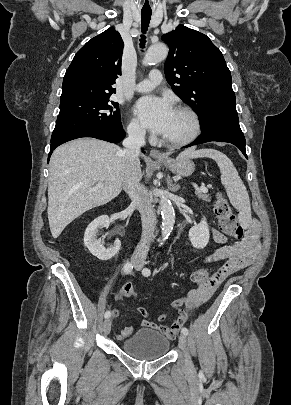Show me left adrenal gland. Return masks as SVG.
I'll list each match as a JSON object with an SVG mask.
<instances>
[{"instance_id": "left-adrenal-gland-1", "label": "left adrenal gland", "mask_w": 291, "mask_h": 405, "mask_svg": "<svg viewBox=\"0 0 291 405\" xmlns=\"http://www.w3.org/2000/svg\"><path fill=\"white\" fill-rule=\"evenodd\" d=\"M167 184H168L169 190L172 191V192H177L179 190V188H180L179 185H175V184L172 183V180L170 179L169 176H168V179H167Z\"/></svg>"}]
</instances>
